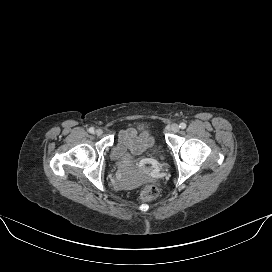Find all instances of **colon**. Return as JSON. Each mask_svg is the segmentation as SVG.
I'll return each instance as SVG.
<instances>
[{"instance_id": "obj_1", "label": "colon", "mask_w": 272, "mask_h": 272, "mask_svg": "<svg viewBox=\"0 0 272 272\" xmlns=\"http://www.w3.org/2000/svg\"><path fill=\"white\" fill-rule=\"evenodd\" d=\"M159 194L157 186L153 184H147L142 188L140 197L143 201H151L155 199Z\"/></svg>"}]
</instances>
